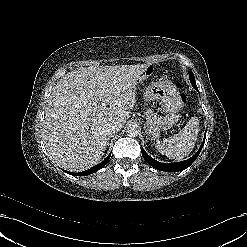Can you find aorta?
Segmentation results:
<instances>
[{
  "label": "aorta",
  "instance_id": "obj_1",
  "mask_svg": "<svg viewBox=\"0 0 247 247\" xmlns=\"http://www.w3.org/2000/svg\"><path fill=\"white\" fill-rule=\"evenodd\" d=\"M126 134L129 137H136L139 134V130H138L137 126H135V125H129L126 128Z\"/></svg>",
  "mask_w": 247,
  "mask_h": 247
}]
</instances>
